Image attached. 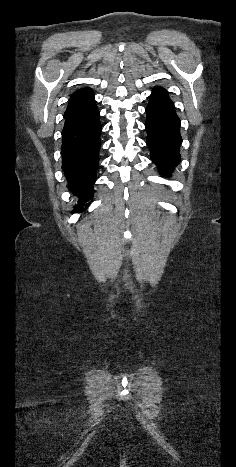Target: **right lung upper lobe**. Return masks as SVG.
<instances>
[{"label": "right lung upper lobe", "instance_id": "obj_1", "mask_svg": "<svg viewBox=\"0 0 236 467\" xmlns=\"http://www.w3.org/2000/svg\"><path fill=\"white\" fill-rule=\"evenodd\" d=\"M94 98L93 92L91 88H82L77 91H75L69 100L67 110L65 113L70 112L74 109H77L83 105H85L87 102H89L91 99Z\"/></svg>", "mask_w": 236, "mask_h": 467}]
</instances>
